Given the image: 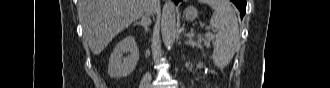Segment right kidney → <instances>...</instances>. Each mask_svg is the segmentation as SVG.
I'll return each instance as SVG.
<instances>
[{
	"instance_id": "1",
	"label": "right kidney",
	"mask_w": 330,
	"mask_h": 88,
	"mask_svg": "<svg viewBox=\"0 0 330 88\" xmlns=\"http://www.w3.org/2000/svg\"><path fill=\"white\" fill-rule=\"evenodd\" d=\"M128 56H124L125 53ZM139 60V49L135 38L127 36L113 50L109 58L108 73L111 77H125L133 72Z\"/></svg>"
}]
</instances>
